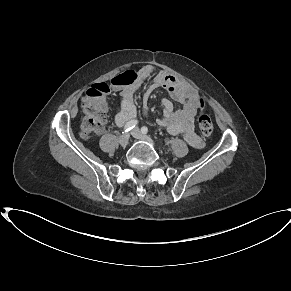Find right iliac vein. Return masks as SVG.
I'll return each instance as SVG.
<instances>
[{"instance_id": "1", "label": "right iliac vein", "mask_w": 291, "mask_h": 291, "mask_svg": "<svg viewBox=\"0 0 291 291\" xmlns=\"http://www.w3.org/2000/svg\"><path fill=\"white\" fill-rule=\"evenodd\" d=\"M129 139H130V135H129L128 133L123 134V135L120 137V140H119L120 145H121L122 147H126L127 144H128V142H129Z\"/></svg>"}]
</instances>
